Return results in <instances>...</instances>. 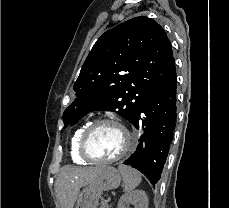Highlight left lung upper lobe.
I'll use <instances>...</instances> for the list:
<instances>
[{
	"mask_svg": "<svg viewBox=\"0 0 229 208\" xmlns=\"http://www.w3.org/2000/svg\"><path fill=\"white\" fill-rule=\"evenodd\" d=\"M175 76L166 32L151 18H132L94 44L74 84L77 98L63 113L64 128L96 110L116 112L131 122L147 96Z\"/></svg>",
	"mask_w": 229,
	"mask_h": 208,
	"instance_id": "left-lung-upper-lobe-1",
	"label": "left lung upper lobe"
}]
</instances>
